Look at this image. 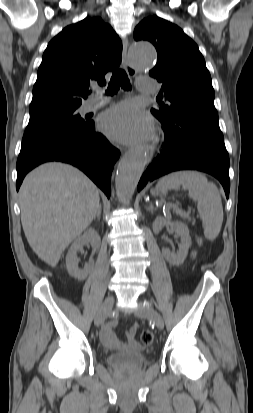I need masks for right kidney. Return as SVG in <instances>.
<instances>
[{
  "label": "right kidney",
  "instance_id": "right-kidney-1",
  "mask_svg": "<svg viewBox=\"0 0 253 413\" xmlns=\"http://www.w3.org/2000/svg\"><path fill=\"white\" fill-rule=\"evenodd\" d=\"M90 243L92 248H99L101 244V238L97 231L93 228H89L84 234L78 237L71 245L66 255V267L68 273L78 280H84L89 275L93 268V262H89L83 269H79L78 264L80 259L77 257V252L82 250L83 246Z\"/></svg>",
  "mask_w": 253,
  "mask_h": 413
}]
</instances>
